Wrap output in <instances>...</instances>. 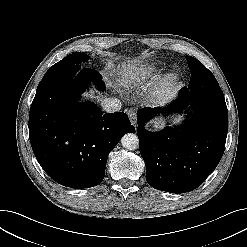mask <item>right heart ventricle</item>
<instances>
[{
    "label": "right heart ventricle",
    "instance_id": "obj_1",
    "mask_svg": "<svg viewBox=\"0 0 247 247\" xmlns=\"http://www.w3.org/2000/svg\"><path fill=\"white\" fill-rule=\"evenodd\" d=\"M156 69L152 65H141L130 70L125 77L127 86H141L156 76Z\"/></svg>",
    "mask_w": 247,
    "mask_h": 247
}]
</instances>
